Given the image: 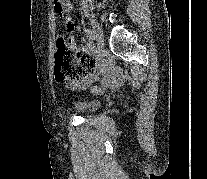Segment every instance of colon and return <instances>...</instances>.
I'll list each match as a JSON object with an SVG mask.
<instances>
[{
    "label": "colon",
    "instance_id": "colon-1",
    "mask_svg": "<svg viewBox=\"0 0 207 179\" xmlns=\"http://www.w3.org/2000/svg\"><path fill=\"white\" fill-rule=\"evenodd\" d=\"M55 11L61 17H67L71 12L69 0H55ZM70 23V20H67ZM92 58L80 51H73L70 39L61 35L56 41L55 76L60 82L79 83L92 72Z\"/></svg>",
    "mask_w": 207,
    "mask_h": 179
}]
</instances>
